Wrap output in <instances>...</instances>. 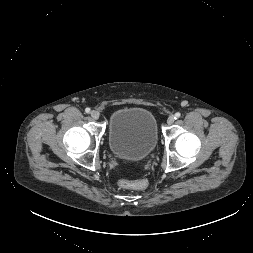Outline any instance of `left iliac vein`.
I'll return each mask as SVG.
<instances>
[{
    "instance_id": "1",
    "label": "left iliac vein",
    "mask_w": 253,
    "mask_h": 253,
    "mask_svg": "<svg viewBox=\"0 0 253 253\" xmlns=\"http://www.w3.org/2000/svg\"><path fill=\"white\" fill-rule=\"evenodd\" d=\"M175 121V117L174 116H169L168 119H167V124L168 125H171L173 124Z\"/></svg>"
}]
</instances>
